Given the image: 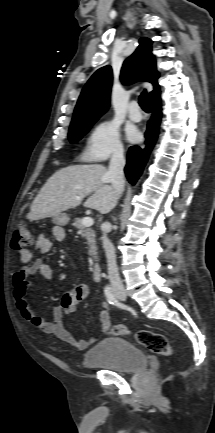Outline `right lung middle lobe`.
Returning <instances> with one entry per match:
<instances>
[{
  "label": "right lung middle lobe",
  "instance_id": "right-lung-middle-lobe-1",
  "mask_svg": "<svg viewBox=\"0 0 215 433\" xmlns=\"http://www.w3.org/2000/svg\"><path fill=\"white\" fill-rule=\"evenodd\" d=\"M95 122L96 120H91L82 123L71 124L68 134L69 140L71 142H76L80 140Z\"/></svg>",
  "mask_w": 215,
  "mask_h": 433
}]
</instances>
